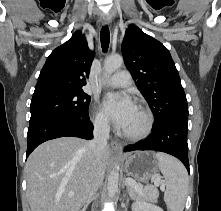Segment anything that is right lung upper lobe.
Instances as JSON below:
<instances>
[{"mask_svg": "<svg viewBox=\"0 0 221 211\" xmlns=\"http://www.w3.org/2000/svg\"><path fill=\"white\" fill-rule=\"evenodd\" d=\"M93 58L94 52L88 48L85 37L80 31H76L70 40L49 55L40 72L35 91L82 90L86 85Z\"/></svg>", "mask_w": 221, "mask_h": 211, "instance_id": "1", "label": "right lung upper lobe"}]
</instances>
